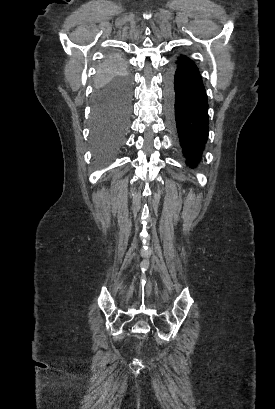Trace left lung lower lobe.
Listing matches in <instances>:
<instances>
[{
	"label": "left lung lower lobe",
	"mask_w": 275,
	"mask_h": 409,
	"mask_svg": "<svg viewBox=\"0 0 275 409\" xmlns=\"http://www.w3.org/2000/svg\"><path fill=\"white\" fill-rule=\"evenodd\" d=\"M167 118L186 164L195 167L208 138V99L200 72L176 62L167 72Z\"/></svg>",
	"instance_id": "1"
}]
</instances>
